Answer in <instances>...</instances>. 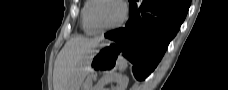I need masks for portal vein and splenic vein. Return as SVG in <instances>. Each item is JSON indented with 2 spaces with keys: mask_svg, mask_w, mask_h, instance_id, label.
<instances>
[{
  "mask_svg": "<svg viewBox=\"0 0 228 90\" xmlns=\"http://www.w3.org/2000/svg\"><path fill=\"white\" fill-rule=\"evenodd\" d=\"M96 79H97V77L95 76V77H94V80H96Z\"/></svg>",
  "mask_w": 228,
  "mask_h": 90,
  "instance_id": "1",
  "label": "portal vein and splenic vein"
}]
</instances>
